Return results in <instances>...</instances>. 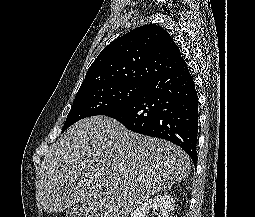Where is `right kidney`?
Returning <instances> with one entry per match:
<instances>
[{"label": "right kidney", "instance_id": "right-kidney-1", "mask_svg": "<svg viewBox=\"0 0 255 217\" xmlns=\"http://www.w3.org/2000/svg\"><path fill=\"white\" fill-rule=\"evenodd\" d=\"M174 200L168 194H157L147 200L131 213V217H147L150 211L157 213L158 217H169L173 209Z\"/></svg>", "mask_w": 255, "mask_h": 217}]
</instances>
